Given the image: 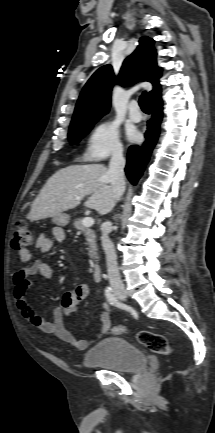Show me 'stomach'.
Listing matches in <instances>:
<instances>
[{"mask_svg":"<svg viewBox=\"0 0 215 433\" xmlns=\"http://www.w3.org/2000/svg\"><path fill=\"white\" fill-rule=\"evenodd\" d=\"M69 216L65 213H61L53 218L55 224L65 226L69 223Z\"/></svg>","mask_w":215,"mask_h":433,"instance_id":"stomach-1","label":"stomach"}]
</instances>
